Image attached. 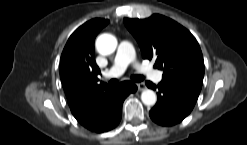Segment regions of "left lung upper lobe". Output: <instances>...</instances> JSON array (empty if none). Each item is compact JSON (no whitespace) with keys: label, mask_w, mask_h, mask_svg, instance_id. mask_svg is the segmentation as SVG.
<instances>
[{"label":"left lung upper lobe","mask_w":247,"mask_h":145,"mask_svg":"<svg viewBox=\"0 0 247 145\" xmlns=\"http://www.w3.org/2000/svg\"><path fill=\"white\" fill-rule=\"evenodd\" d=\"M144 59H156L163 79L175 80L198 91L204 77V61L194 36L174 20L154 14L147 19L124 18Z\"/></svg>","instance_id":"5c2ea615"}]
</instances>
